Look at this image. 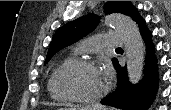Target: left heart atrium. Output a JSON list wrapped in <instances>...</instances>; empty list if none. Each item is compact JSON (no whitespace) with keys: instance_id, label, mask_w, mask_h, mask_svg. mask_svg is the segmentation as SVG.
Returning <instances> with one entry per match:
<instances>
[{"instance_id":"left-heart-atrium-1","label":"left heart atrium","mask_w":171,"mask_h":110,"mask_svg":"<svg viewBox=\"0 0 171 110\" xmlns=\"http://www.w3.org/2000/svg\"><path fill=\"white\" fill-rule=\"evenodd\" d=\"M103 75H104L106 78L110 77V76H111V71H110V69H109V68H106V69L104 70V72H103Z\"/></svg>"}]
</instances>
